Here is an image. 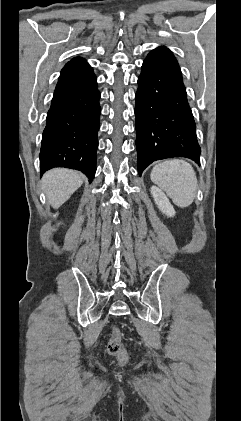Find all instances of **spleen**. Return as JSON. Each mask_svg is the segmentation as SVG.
<instances>
[{"label": "spleen", "instance_id": "3e777b00", "mask_svg": "<svg viewBox=\"0 0 241 421\" xmlns=\"http://www.w3.org/2000/svg\"><path fill=\"white\" fill-rule=\"evenodd\" d=\"M150 178L178 207L190 206L196 197L198 189L196 173L184 160L172 159L156 164Z\"/></svg>", "mask_w": 241, "mask_h": 421}]
</instances>
